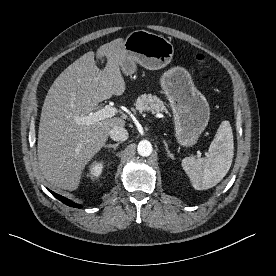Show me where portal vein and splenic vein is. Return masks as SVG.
I'll return each instance as SVG.
<instances>
[{
	"label": "portal vein and splenic vein",
	"instance_id": "portal-vein-and-splenic-vein-1",
	"mask_svg": "<svg viewBox=\"0 0 276 276\" xmlns=\"http://www.w3.org/2000/svg\"><path fill=\"white\" fill-rule=\"evenodd\" d=\"M117 109L111 105H106L101 110H98L96 112H91L90 114L82 117H76V121L78 123H83L86 125H91L95 122L104 120L106 118H111L116 115Z\"/></svg>",
	"mask_w": 276,
	"mask_h": 276
}]
</instances>
